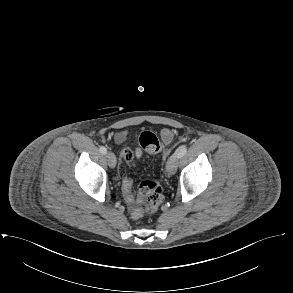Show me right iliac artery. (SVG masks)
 Here are the masks:
<instances>
[{"instance_id":"82829eb1","label":"right iliac artery","mask_w":293,"mask_h":293,"mask_svg":"<svg viewBox=\"0 0 293 293\" xmlns=\"http://www.w3.org/2000/svg\"><path fill=\"white\" fill-rule=\"evenodd\" d=\"M99 150H100V152L102 154H106L107 153V149L104 146H100Z\"/></svg>"}]
</instances>
